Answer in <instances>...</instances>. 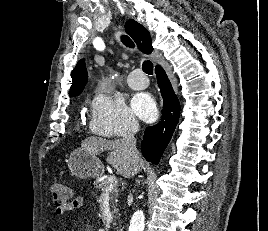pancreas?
<instances>
[{"label": "pancreas", "mask_w": 268, "mask_h": 231, "mask_svg": "<svg viewBox=\"0 0 268 231\" xmlns=\"http://www.w3.org/2000/svg\"><path fill=\"white\" fill-rule=\"evenodd\" d=\"M94 185L97 189L99 190H102V191H105L106 188H107V179L105 180H99V177L96 179V181L94 182ZM118 189L117 187H114L111 191V197H110V200H111V206L112 208H114V210L112 211L113 214H116L117 213V209L115 208L116 207V202H117V197H118ZM115 218V216H113Z\"/></svg>", "instance_id": "pancreas-1"}]
</instances>
